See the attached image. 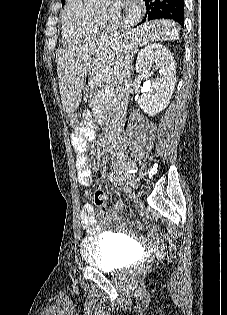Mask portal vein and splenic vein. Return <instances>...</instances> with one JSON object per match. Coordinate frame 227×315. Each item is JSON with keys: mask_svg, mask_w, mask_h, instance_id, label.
<instances>
[{"mask_svg": "<svg viewBox=\"0 0 227 315\" xmlns=\"http://www.w3.org/2000/svg\"><path fill=\"white\" fill-rule=\"evenodd\" d=\"M101 80H102V78L99 77V78L97 79V81H96V84H97V85H100L99 82H101ZM111 91H112V88H111L110 86H108V87H106L105 89H102V91L97 94V97H98V98H106V97H108V94H109Z\"/></svg>", "mask_w": 227, "mask_h": 315, "instance_id": "portal-vein-and-splenic-vein-1", "label": "portal vein and splenic vein"}]
</instances>
